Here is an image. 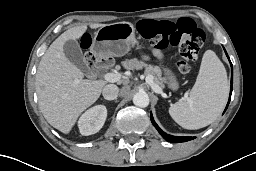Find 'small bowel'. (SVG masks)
Listing matches in <instances>:
<instances>
[{"label": "small bowel", "instance_id": "1", "mask_svg": "<svg viewBox=\"0 0 256 171\" xmlns=\"http://www.w3.org/2000/svg\"><path fill=\"white\" fill-rule=\"evenodd\" d=\"M153 54H154L156 57H158L159 59L162 58V53H161L159 50L154 49V50H153Z\"/></svg>", "mask_w": 256, "mask_h": 171}]
</instances>
